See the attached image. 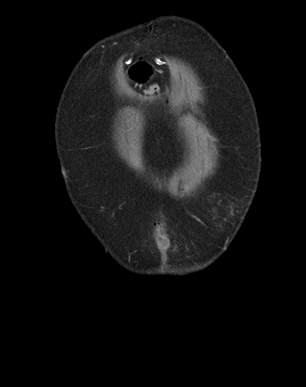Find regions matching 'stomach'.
Returning a JSON list of instances; mask_svg holds the SVG:
<instances>
[{
	"label": "stomach",
	"instance_id": "1",
	"mask_svg": "<svg viewBox=\"0 0 306 387\" xmlns=\"http://www.w3.org/2000/svg\"><path fill=\"white\" fill-rule=\"evenodd\" d=\"M140 66H126V73L129 77H133L134 82H155V75H147L148 61H141Z\"/></svg>",
	"mask_w": 306,
	"mask_h": 387
}]
</instances>
